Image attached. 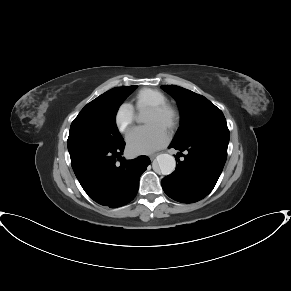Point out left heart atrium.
<instances>
[{
	"mask_svg": "<svg viewBox=\"0 0 291 291\" xmlns=\"http://www.w3.org/2000/svg\"><path fill=\"white\" fill-rule=\"evenodd\" d=\"M169 140L166 129L149 124L134 129L127 136V149L131 154H147L163 147Z\"/></svg>",
	"mask_w": 291,
	"mask_h": 291,
	"instance_id": "left-heart-atrium-1",
	"label": "left heart atrium"
}]
</instances>
